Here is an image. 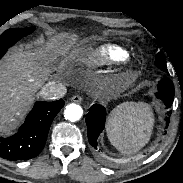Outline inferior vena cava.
<instances>
[{
  "label": "inferior vena cava",
  "mask_w": 183,
  "mask_h": 183,
  "mask_svg": "<svg viewBox=\"0 0 183 183\" xmlns=\"http://www.w3.org/2000/svg\"><path fill=\"white\" fill-rule=\"evenodd\" d=\"M66 87L59 82H49L42 87L39 95L45 100H55L66 94Z\"/></svg>",
  "instance_id": "602c4592"
}]
</instances>
